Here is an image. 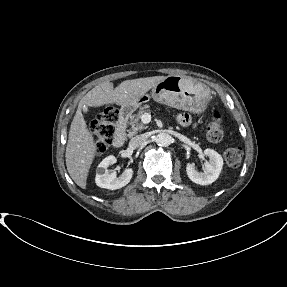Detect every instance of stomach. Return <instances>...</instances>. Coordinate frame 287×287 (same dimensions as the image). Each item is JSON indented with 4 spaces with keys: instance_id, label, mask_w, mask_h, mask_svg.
Listing matches in <instances>:
<instances>
[{
    "instance_id": "1",
    "label": "stomach",
    "mask_w": 287,
    "mask_h": 287,
    "mask_svg": "<svg viewBox=\"0 0 287 287\" xmlns=\"http://www.w3.org/2000/svg\"><path fill=\"white\" fill-rule=\"evenodd\" d=\"M150 98L168 106L192 113L203 112L210 98L209 88L201 82L180 75H169L150 94L143 95L135 104L122 105L121 114H130Z\"/></svg>"
}]
</instances>
